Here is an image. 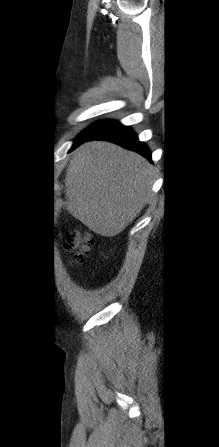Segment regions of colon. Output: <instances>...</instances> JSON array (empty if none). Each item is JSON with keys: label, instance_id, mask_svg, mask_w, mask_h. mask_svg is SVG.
<instances>
[{"label": "colon", "instance_id": "colon-1", "mask_svg": "<svg viewBox=\"0 0 219 447\" xmlns=\"http://www.w3.org/2000/svg\"><path fill=\"white\" fill-rule=\"evenodd\" d=\"M91 236L86 232L72 231L66 240V249L72 254L71 262L82 263L86 260L91 247Z\"/></svg>", "mask_w": 219, "mask_h": 447}]
</instances>
